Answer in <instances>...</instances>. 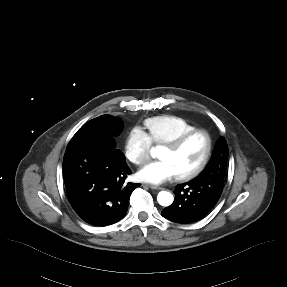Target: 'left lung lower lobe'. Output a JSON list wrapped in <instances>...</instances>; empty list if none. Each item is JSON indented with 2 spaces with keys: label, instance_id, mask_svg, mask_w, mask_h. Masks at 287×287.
I'll list each match as a JSON object with an SVG mask.
<instances>
[{
  "label": "left lung lower lobe",
  "instance_id": "obj_1",
  "mask_svg": "<svg viewBox=\"0 0 287 287\" xmlns=\"http://www.w3.org/2000/svg\"><path fill=\"white\" fill-rule=\"evenodd\" d=\"M223 184L211 182L205 188L192 180L176 186L174 202L161 215L173 222L191 223L204 217L217 203Z\"/></svg>",
  "mask_w": 287,
  "mask_h": 287
}]
</instances>
